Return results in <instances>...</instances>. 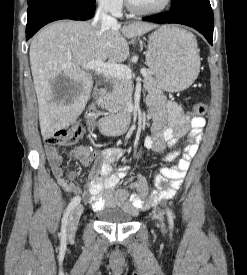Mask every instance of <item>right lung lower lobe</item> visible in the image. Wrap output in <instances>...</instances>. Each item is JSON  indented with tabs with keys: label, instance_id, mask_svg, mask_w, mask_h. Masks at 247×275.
<instances>
[{
	"label": "right lung lower lobe",
	"instance_id": "obj_1",
	"mask_svg": "<svg viewBox=\"0 0 247 275\" xmlns=\"http://www.w3.org/2000/svg\"><path fill=\"white\" fill-rule=\"evenodd\" d=\"M94 4H82L70 0H47L28 7L26 40L41 27L55 20H88L94 16Z\"/></svg>",
	"mask_w": 247,
	"mask_h": 275
}]
</instances>
